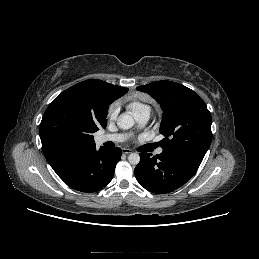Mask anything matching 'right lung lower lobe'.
Listing matches in <instances>:
<instances>
[{
  "mask_svg": "<svg viewBox=\"0 0 259 259\" xmlns=\"http://www.w3.org/2000/svg\"><path fill=\"white\" fill-rule=\"evenodd\" d=\"M121 149L96 146L62 153L49 164L71 188L82 192H96L107 186L121 159Z\"/></svg>",
  "mask_w": 259,
  "mask_h": 259,
  "instance_id": "98d812e1",
  "label": "right lung lower lobe"
}]
</instances>
